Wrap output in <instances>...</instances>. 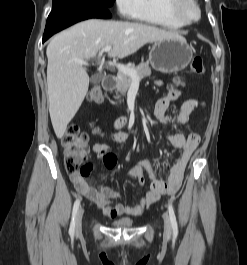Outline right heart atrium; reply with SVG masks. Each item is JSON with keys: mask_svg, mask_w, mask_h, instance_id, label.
I'll list each match as a JSON object with an SVG mask.
<instances>
[{"mask_svg": "<svg viewBox=\"0 0 247 265\" xmlns=\"http://www.w3.org/2000/svg\"><path fill=\"white\" fill-rule=\"evenodd\" d=\"M119 12L126 18H134L139 8V0H115Z\"/></svg>", "mask_w": 247, "mask_h": 265, "instance_id": "d8ad5b80", "label": "right heart atrium"}]
</instances>
